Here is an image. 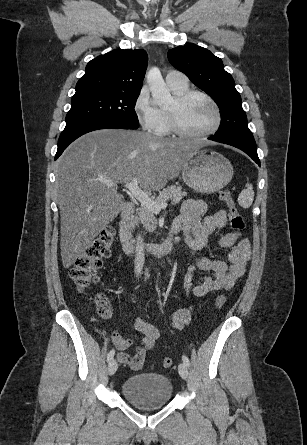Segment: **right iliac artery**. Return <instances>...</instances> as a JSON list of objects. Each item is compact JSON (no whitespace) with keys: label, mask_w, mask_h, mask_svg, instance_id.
<instances>
[{"label":"right iliac artery","mask_w":307,"mask_h":445,"mask_svg":"<svg viewBox=\"0 0 307 445\" xmlns=\"http://www.w3.org/2000/svg\"><path fill=\"white\" fill-rule=\"evenodd\" d=\"M114 354H115V350H114V349H112V350L108 353V355H107V361H108V362H110V361L113 359Z\"/></svg>","instance_id":"82829eb1"}]
</instances>
